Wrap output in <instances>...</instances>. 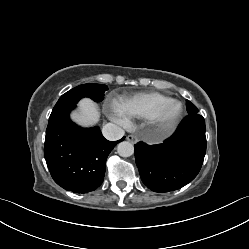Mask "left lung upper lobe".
<instances>
[{
	"label": "left lung upper lobe",
	"instance_id": "5c2ea615",
	"mask_svg": "<svg viewBox=\"0 0 249 249\" xmlns=\"http://www.w3.org/2000/svg\"><path fill=\"white\" fill-rule=\"evenodd\" d=\"M186 107H187V112L188 114H193V113H197L198 109L197 107L191 103L190 101L186 100Z\"/></svg>",
	"mask_w": 249,
	"mask_h": 249
}]
</instances>
